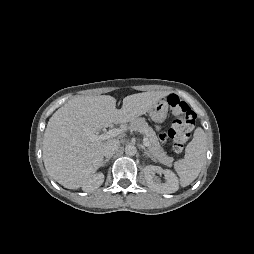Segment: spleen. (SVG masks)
I'll use <instances>...</instances> for the list:
<instances>
[{"mask_svg":"<svg viewBox=\"0 0 254 254\" xmlns=\"http://www.w3.org/2000/svg\"><path fill=\"white\" fill-rule=\"evenodd\" d=\"M206 150L207 136L204 130L198 127L194 131L193 139L186 147L184 158L174 164L182 187L188 186L198 177L205 161Z\"/></svg>","mask_w":254,"mask_h":254,"instance_id":"spleen-1","label":"spleen"}]
</instances>
